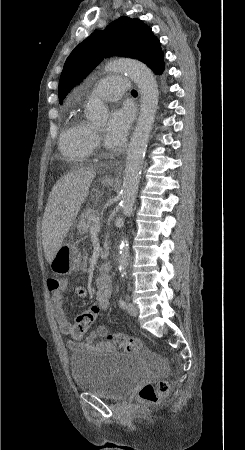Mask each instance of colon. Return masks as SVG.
<instances>
[{"label":"colon","mask_w":245,"mask_h":450,"mask_svg":"<svg viewBox=\"0 0 245 450\" xmlns=\"http://www.w3.org/2000/svg\"><path fill=\"white\" fill-rule=\"evenodd\" d=\"M64 279L61 277H50L47 285L51 291H56L62 288ZM98 308H91L81 312L77 315L71 335L73 339L80 340L84 334L92 327L95 322ZM107 340L114 342L126 351H136L139 348V343L130 336H125L119 333L109 334ZM171 383L167 380L160 381L158 384H145L139 390V398L142 402L148 405H155L159 400L170 391Z\"/></svg>","instance_id":"obj_1"}]
</instances>
